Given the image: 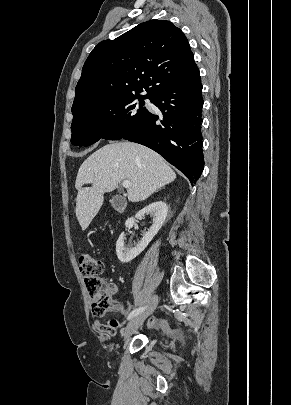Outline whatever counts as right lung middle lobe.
<instances>
[{"instance_id":"right-lung-middle-lobe-1","label":"right lung middle lobe","mask_w":291,"mask_h":405,"mask_svg":"<svg viewBox=\"0 0 291 405\" xmlns=\"http://www.w3.org/2000/svg\"><path fill=\"white\" fill-rule=\"evenodd\" d=\"M145 98L147 97L125 96L94 103L72 113L71 143L81 147L92 145L102 138L121 139L139 126L148 115L149 110L144 107Z\"/></svg>"}]
</instances>
